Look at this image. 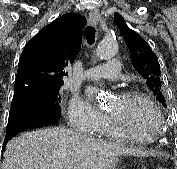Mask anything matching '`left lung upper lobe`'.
I'll use <instances>...</instances> for the list:
<instances>
[{
    "label": "left lung upper lobe",
    "mask_w": 177,
    "mask_h": 169,
    "mask_svg": "<svg viewBox=\"0 0 177 169\" xmlns=\"http://www.w3.org/2000/svg\"><path fill=\"white\" fill-rule=\"evenodd\" d=\"M115 20L129 48L132 62L137 72L143 77L146 85L157 96L158 101L166 107L162 94L160 65L149 44L124 22L123 17L115 13Z\"/></svg>",
    "instance_id": "5c2ea615"
}]
</instances>
